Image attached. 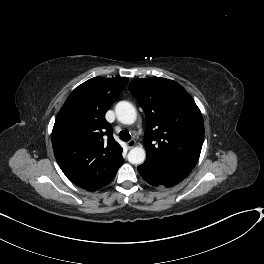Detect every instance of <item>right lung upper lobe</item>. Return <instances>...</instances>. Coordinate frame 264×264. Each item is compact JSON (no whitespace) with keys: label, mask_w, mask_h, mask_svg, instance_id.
<instances>
[{"label":"right lung upper lobe","mask_w":264,"mask_h":264,"mask_svg":"<svg viewBox=\"0 0 264 264\" xmlns=\"http://www.w3.org/2000/svg\"><path fill=\"white\" fill-rule=\"evenodd\" d=\"M127 82L128 78L89 79L73 90L56 117L54 155L66 177L83 189L104 187L124 162L105 113Z\"/></svg>","instance_id":"right-lung-upper-lobe-1"}]
</instances>
